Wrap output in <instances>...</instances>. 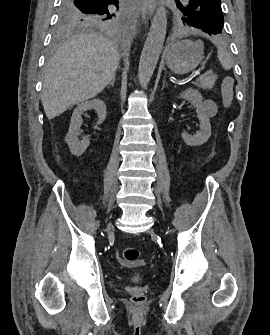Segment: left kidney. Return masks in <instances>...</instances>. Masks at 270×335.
Segmentation results:
<instances>
[{
  "mask_svg": "<svg viewBox=\"0 0 270 335\" xmlns=\"http://www.w3.org/2000/svg\"><path fill=\"white\" fill-rule=\"evenodd\" d=\"M179 98H186L192 106H195L198 114L197 118L200 122V130L199 132H196L195 136H190V134H186V132H184V134H182V138L184 142H186L187 146H202V144H205L211 136V124L203 108V98L201 94H199L198 90H192V88H188V90L182 92Z\"/></svg>",
  "mask_w": 270,
  "mask_h": 335,
  "instance_id": "obj_1",
  "label": "left kidney"
}]
</instances>
